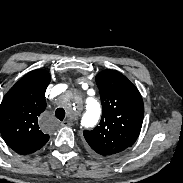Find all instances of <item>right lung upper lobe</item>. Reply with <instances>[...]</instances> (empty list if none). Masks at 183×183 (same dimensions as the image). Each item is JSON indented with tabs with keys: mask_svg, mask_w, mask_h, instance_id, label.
<instances>
[{
	"mask_svg": "<svg viewBox=\"0 0 183 183\" xmlns=\"http://www.w3.org/2000/svg\"><path fill=\"white\" fill-rule=\"evenodd\" d=\"M50 74L38 69L23 76L5 95L0 105V132L7 145L19 154H30L49 140L38 125L46 108L45 91Z\"/></svg>",
	"mask_w": 183,
	"mask_h": 183,
	"instance_id": "1",
	"label": "right lung upper lobe"
}]
</instances>
